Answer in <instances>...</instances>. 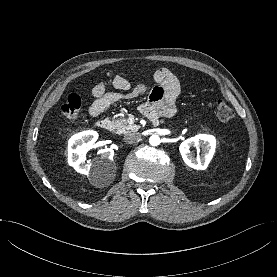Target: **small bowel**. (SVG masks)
<instances>
[{"instance_id":"obj_1","label":"small bowel","mask_w":277,"mask_h":277,"mask_svg":"<svg viewBox=\"0 0 277 277\" xmlns=\"http://www.w3.org/2000/svg\"><path fill=\"white\" fill-rule=\"evenodd\" d=\"M153 78L159 86L151 90L148 101L141 105L140 111L151 119L171 117L176 112V101L180 93L179 81L166 68L155 71ZM108 86L116 91L108 92ZM146 92L147 85L144 82L132 84L120 75L108 74L106 81L97 83L92 89L94 101L89 108V113L96 117L112 104L141 96Z\"/></svg>"}]
</instances>
